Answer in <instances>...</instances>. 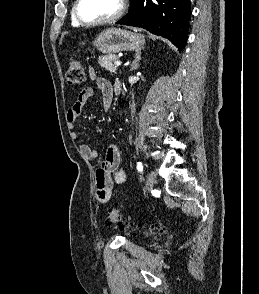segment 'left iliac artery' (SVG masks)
Segmentation results:
<instances>
[{
  "instance_id": "left-iliac-artery-1",
  "label": "left iliac artery",
  "mask_w": 259,
  "mask_h": 294,
  "mask_svg": "<svg viewBox=\"0 0 259 294\" xmlns=\"http://www.w3.org/2000/svg\"><path fill=\"white\" fill-rule=\"evenodd\" d=\"M137 169H138V171H139L140 173L143 171V165H142L141 162H138V163H137Z\"/></svg>"
}]
</instances>
